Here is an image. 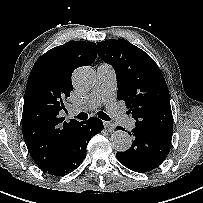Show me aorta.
Masks as SVG:
<instances>
[{
    "label": "aorta",
    "mask_w": 203,
    "mask_h": 203,
    "mask_svg": "<svg viewBox=\"0 0 203 203\" xmlns=\"http://www.w3.org/2000/svg\"><path fill=\"white\" fill-rule=\"evenodd\" d=\"M95 80L94 71L86 66L76 69L73 73V84L80 92L90 90L93 87ZM110 144L114 150L124 152L131 147L132 139L127 132L117 130L111 135Z\"/></svg>",
    "instance_id": "762f6f07"
}]
</instances>
